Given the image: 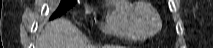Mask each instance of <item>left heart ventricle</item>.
Returning a JSON list of instances; mask_svg holds the SVG:
<instances>
[{"label":"left heart ventricle","mask_w":213,"mask_h":48,"mask_svg":"<svg viewBox=\"0 0 213 48\" xmlns=\"http://www.w3.org/2000/svg\"><path fill=\"white\" fill-rule=\"evenodd\" d=\"M141 20L146 31L153 32L157 28V19L150 11H144Z\"/></svg>","instance_id":"left-heart-ventricle-1"}]
</instances>
